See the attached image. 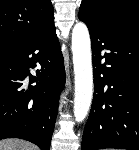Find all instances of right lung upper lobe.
<instances>
[{
    "label": "right lung upper lobe",
    "mask_w": 139,
    "mask_h": 150,
    "mask_svg": "<svg viewBox=\"0 0 139 150\" xmlns=\"http://www.w3.org/2000/svg\"><path fill=\"white\" fill-rule=\"evenodd\" d=\"M52 23L51 0H0V45L29 42Z\"/></svg>",
    "instance_id": "right-lung-upper-lobe-1"
}]
</instances>
